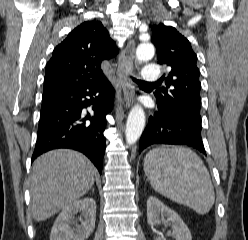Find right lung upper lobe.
<instances>
[{
	"mask_svg": "<svg viewBox=\"0 0 248 240\" xmlns=\"http://www.w3.org/2000/svg\"><path fill=\"white\" fill-rule=\"evenodd\" d=\"M118 53L100 21H87L69 33L46 65L43 96L105 79L101 63Z\"/></svg>",
	"mask_w": 248,
	"mask_h": 240,
	"instance_id": "1",
	"label": "right lung upper lobe"
}]
</instances>
